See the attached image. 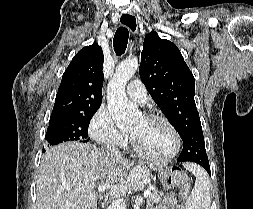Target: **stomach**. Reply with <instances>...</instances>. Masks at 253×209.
I'll return each instance as SVG.
<instances>
[{
    "label": "stomach",
    "instance_id": "obj_1",
    "mask_svg": "<svg viewBox=\"0 0 253 209\" xmlns=\"http://www.w3.org/2000/svg\"><path fill=\"white\" fill-rule=\"evenodd\" d=\"M167 179H169L168 171H164L163 168H161L158 177V182H167Z\"/></svg>",
    "mask_w": 253,
    "mask_h": 209
}]
</instances>
